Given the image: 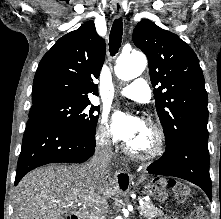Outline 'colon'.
Masks as SVG:
<instances>
[{"mask_svg":"<svg viewBox=\"0 0 221 219\" xmlns=\"http://www.w3.org/2000/svg\"><path fill=\"white\" fill-rule=\"evenodd\" d=\"M185 192H186L185 186L180 184L177 185L176 196L178 200L183 201L185 199ZM188 219H207V216L203 211L197 210L192 212Z\"/></svg>","mask_w":221,"mask_h":219,"instance_id":"1","label":"colon"}]
</instances>
